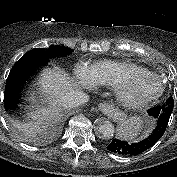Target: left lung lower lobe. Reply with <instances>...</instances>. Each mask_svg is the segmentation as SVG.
<instances>
[{
  "instance_id": "left-lung-lower-lobe-1",
  "label": "left lung lower lobe",
  "mask_w": 177,
  "mask_h": 177,
  "mask_svg": "<svg viewBox=\"0 0 177 177\" xmlns=\"http://www.w3.org/2000/svg\"><path fill=\"white\" fill-rule=\"evenodd\" d=\"M173 108L171 105L156 106L148 110V114L156 118L157 124L153 132L140 142L130 144L126 141L114 139L107 149L113 153L132 156L138 155L151 148L164 134Z\"/></svg>"
}]
</instances>
